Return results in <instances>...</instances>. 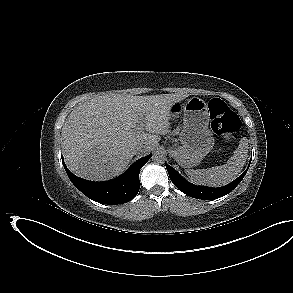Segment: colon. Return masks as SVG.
Listing matches in <instances>:
<instances>
[{
    "label": "colon",
    "instance_id": "colon-1",
    "mask_svg": "<svg viewBox=\"0 0 293 293\" xmlns=\"http://www.w3.org/2000/svg\"><path fill=\"white\" fill-rule=\"evenodd\" d=\"M211 127L215 133L230 139L241 127L239 116L221 99L212 98L208 102Z\"/></svg>",
    "mask_w": 293,
    "mask_h": 293
}]
</instances>
